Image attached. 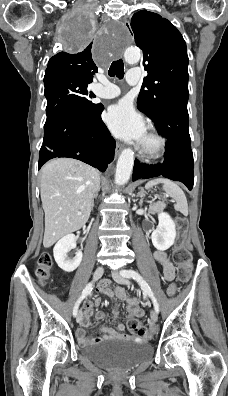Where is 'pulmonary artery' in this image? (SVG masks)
<instances>
[{"label": "pulmonary artery", "mask_w": 228, "mask_h": 396, "mask_svg": "<svg viewBox=\"0 0 228 396\" xmlns=\"http://www.w3.org/2000/svg\"><path fill=\"white\" fill-rule=\"evenodd\" d=\"M140 80V74L138 69H131L129 70L128 74H127V81L130 85H135L139 82ZM101 87H99L97 89V94L99 97L101 98H105V99H112L115 98L117 96L120 95V90L117 86H115L114 84L106 81V80H102L101 81Z\"/></svg>", "instance_id": "1"}]
</instances>
